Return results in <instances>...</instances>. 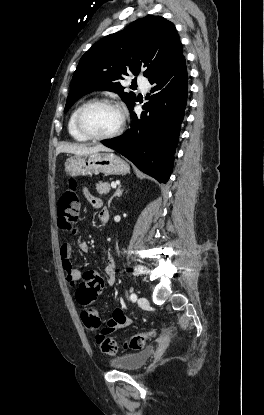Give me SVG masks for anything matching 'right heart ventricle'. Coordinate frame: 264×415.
<instances>
[{
    "mask_svg": "<svg viewBox=\"0 0 264 415\" xmlns=\"http://www.w3.org/2000/svg\"><path fill=\"white\" fill-rule=\"evenodd\" d=\"M89 100H85L81 103H79L74 110L71 112L69 119H68V123H67V129L68 132L70 134V136L75 139L76 141L80 142V143H84L89 141L87 138H85L84 136H82L76 129L75 127V116L77 111L79 110V108L84 105L85 103H87Z\"/></svg>",
    "mask_w": 264,
    "mask_h": 415,
    "instance_id": "e07e8e85",
    "label": "right heart ventricle"
}]
</instances>
